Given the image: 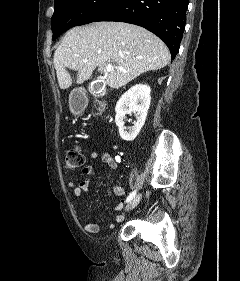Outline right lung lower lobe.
<instances>
[{
    "label": "right lung lower lobe",
    "instance_id": "obj_1",
    "mask_svg": "<svg viewBox=\"0 0 240 281\" xmlns=\"http://www.w3.org/2000/svg\"><path fill=\"white\" fill-rule=\"evenodd\" d=\"M188 4V0H118L95 21L142 26L164 41L174 59L179 51Z\"/></svg>",
    "mask_w": 240,
    "mask_h": 281
}]
</instances>
